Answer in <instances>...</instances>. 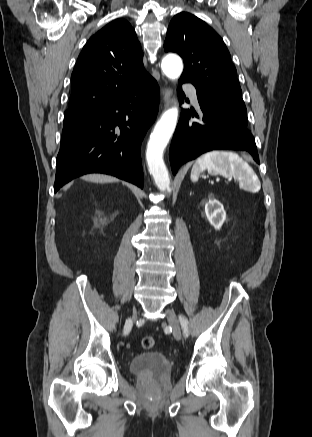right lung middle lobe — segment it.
I'll list each match as a JSON object with an SVG mask.
<instances>
[{
	"instance_id": "right-lung-middle-lobe-1",
	"label": "right lung middle lobe",
	"mask_w": 312,
	"mask_h": 437,
	"mask_svg": "<svg viewBox=\"0 0 312 437\" xmlns=\"http://www.w3.org/2000/svg\"><path fill=\"white\" fill-rule=\"evenodd\" d=\"M91 111H77V112H65V118H64V126L73 124L77 122L78 120L85 117L87 114H89Z\"/></svg>"
}]
</instances>
